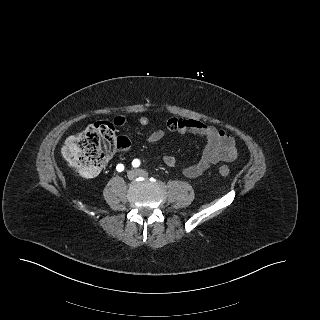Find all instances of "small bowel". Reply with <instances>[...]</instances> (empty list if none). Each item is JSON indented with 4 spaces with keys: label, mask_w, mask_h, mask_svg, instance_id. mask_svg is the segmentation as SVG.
Segmentation results:
<instances>
[{
    "label": "small bowel",
    "mask_w": 320,
    "mask_h": 320,
    "mask_svg": "<svg viewBox=\"0 0 320 320\" xmlns=\"http://www.w3.org/2000/svg\"><path fill=\"white\" fill-rule=\"evenodd\" d=\"M115 124L123 125L125 123L124 117H116ZM149 120L142 116L139 119L141 126H146ZM166 128L170 132L190 133L202 136L206 139V146L199 158V160L183 169V174L190 179L197 178L203 174L213 164L223 161L232 162L237 157L236 145L234 138L224 130H218L212 125L205 124L201 121L188 118L170 117L167 120ZM166 135L164 129H156L147 137L149 145L161 141ZM164 163L169 167L176 165L174 156L166 155L163 158Z\"/></svg>",
    "instance_id": "obj_1"
}]
</instances>
